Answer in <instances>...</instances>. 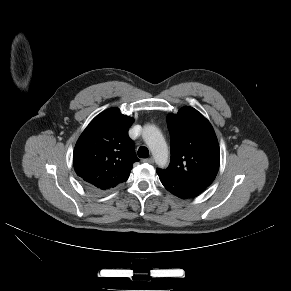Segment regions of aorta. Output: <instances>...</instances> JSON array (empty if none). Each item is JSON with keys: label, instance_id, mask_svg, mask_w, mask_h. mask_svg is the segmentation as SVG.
Returning a JSON list of instances; mask_svg holds the SVG:
<instances>
[{"label": "aorta", "instance_id": "1", "mask_svg": "<svg viewBox=\"0 0 291 291\" xmlns=\"http://www.w3.org/2000/svg\"><path fill=\"white\" fill-rule=\"evenodd\" d=\"M142 136L152 152L156 164L159 167H164L168 162L169 152L161 131L153 125H146L143 129Z\"/></svg>", "mask_w": 291, "mask_h": 291}]
</instances>
